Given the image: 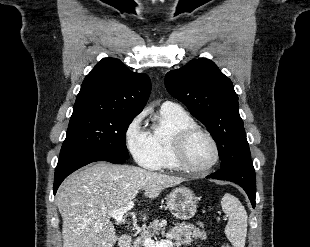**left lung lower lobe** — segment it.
<instances>
[{
	"mask_svg": "<svg viewBox=\"0 0 310 247\" xmlns=\"http://www.w3.org/2000/svg\"><path fill=\"white\" fill-rule=\"evenodd\" d=\"M207 178L228 180L240 185L247 193L253 208L255 207L256 196V176L251 159L229 166L223 167Z\"/></svg>",
	"mask_w": 310,
	"mask_h": 247,
	"instance_id": "left-lung-lower-lobe-1",
	"label": "left lung lower lobe"
}]
</instances>
